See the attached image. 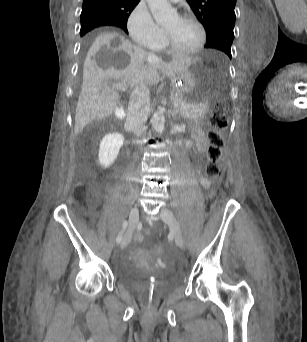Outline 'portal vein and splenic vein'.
Wrapping results in <instances>:
<instances>
[{"label":"portal vein and splenic vein","mask_w":307,"mask_h":342,"mask_svg":"<svg viewBox=\"0 0 307 342\" xmlns=\"http://www.w3.org/2000/svg\"><path fill=\"white\" fill-rule=\"evenodd\" d=\"M112 88H121V91L123 93H126L128 91V88L126 86H124V84H112ZM180 105L178 104L176 107H175V110L176 111H179L180 110Z\"/></svg>","instance_id":"portal-vein-and-splenic-vein-1"}]
</instances>
